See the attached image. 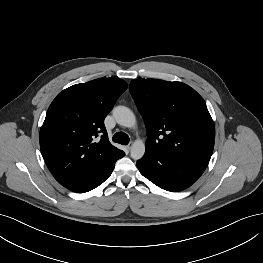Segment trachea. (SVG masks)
Wrapping results in <instances>:
<instances>
[{
  "label": "trachea",
  "mask_w": 263,
  "mask_h": 263,
  "mask_svg": "<svg viewBox=\"0 0 263 263\" xmlns=\"http://www.w3.org/2000/svg\"><path fill=\"white\" fill-rule=\"evenodd\" d=\"M129 140V136L124 132H117L113 136V141L122 145H127Z\"/></svg>",
  "instance_id": "1"
}]
</instances>
